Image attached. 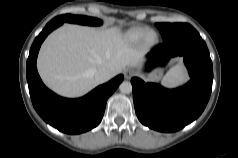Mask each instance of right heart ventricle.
Wrapping results in <instances>:
<instances>
[{
	"label": "right heart ventricle",
	"instance_id": "1",
	"mask_svg": "<svg viewBox=\"0 0 238 158\" xmlns=\"http://www.w3.org/2000/svg\"><path fill=\"white\" fill-rule=\"evenodd\" d=\"M146 31L147 29L144 27L132 28L126 33V39L131 43H137L143 38Z\"/></svg>",
	"mask_w": 238,
	"mask_h": 158
}]
</instances>
